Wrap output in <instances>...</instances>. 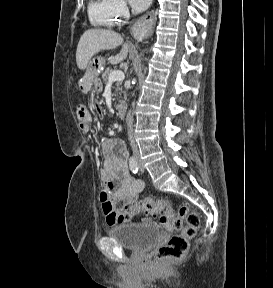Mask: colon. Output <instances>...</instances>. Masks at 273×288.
<instances>
[{
	"label": "colon",
	"instance_id": "colon-1",
	"mask_svg": "<svg viewBox=\"0 0 273 288\" xmlns=\"http://www.w3.org/2000/svg\"><path fill=\"white\" fill-rule=\"evenodd\" d=\"M100 110L96 105V111ZM132 208L158 216L162 225L173 231V234L156 252L158 261L168 259L180 260L188 250L189 240L193 238L200 225V218L188 205H181L175 212L167 199H144Z\"/></svg>",
	"mask_w": 273,
	"mask_h": 288
}]
</instances>
